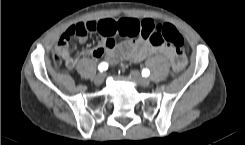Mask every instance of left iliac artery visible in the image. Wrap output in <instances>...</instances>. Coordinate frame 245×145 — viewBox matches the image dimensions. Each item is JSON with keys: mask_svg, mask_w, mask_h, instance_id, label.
<instances>
[{"mask_svg": "<svg viewBox=\"0 0 245 145\" xmlns=\"http://www.w3.org/2000/svg\"><path fill=\"white\" fill-rule=\"evenodd\" d=\"M149 75H150V71L148 69L145 68L142 70V76L143 77H148Z\"/></svg>", "mask_w": 245, "mask_h": 145, "instance_id": "left-iliac-artery-1", "label": "left iliac artery"}]
</instances>
